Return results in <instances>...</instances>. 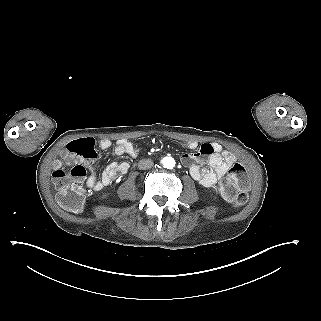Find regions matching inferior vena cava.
Wrapping results in <instances>:
<instances>
[{
	"label": "inferior vena cava",
	"mask_w": 321,
	"mask_h": 321,
	"mask_svg": "<svg viewBox=\"0 0 321 321\" xmlns=\"http://www.w3.org/2000/svg\"><path fill=\"white\" fill-rule=\"evenodd\" d=\"M153 166H154V163L151 160L143 159V160L139 161V163H138V168L141 170L142 169H150Z\"/></svg>",
	"instance_id": "602c4592"
}]
</instances>
